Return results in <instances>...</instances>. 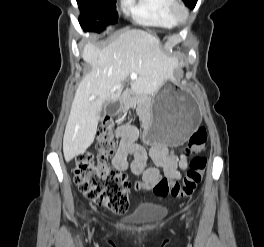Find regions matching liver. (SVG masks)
Masks as SVG:
<instances>
[{"mask_svg":"<svg viewBox=\"0 0 264 247\" xmlns=\"http://www.w3.org/2000/svg\"><path fill=\"white\" fill-rule=\"evenodd\" d=\"M82 58L92 69L76 90L66 124L63 153L67 162L93 143L103 104L121 95L120 88L111 92L114 86L135 73L132 90L153 94L171 79L175 66V61L160 49L159 39L138 29L122 33L103 49L86 43ZM91 96L95 99L91 100Z\"/></svg>","mask_w":264,"mask_h":247,"instance_id":"1","label":"liver"}]
</instances>
